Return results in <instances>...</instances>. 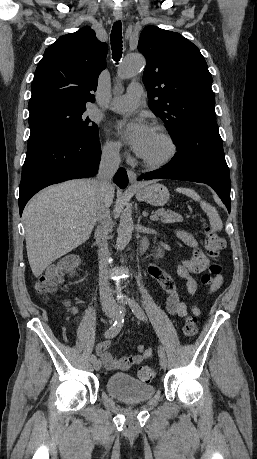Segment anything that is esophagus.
<instances>
[{
  "mask_svg": "<svg viewBox=\"0 0 257 459\" xmlns=\"http://www.w3.org/2000/svg\"><path fill=\"white\" fill-rule=\"evenodd\" d=\"M113 16L115 18V20H120L122 18V11L120 10H115L113 12ZM127 174H128V178H129V183L131 186H138V181H137V175L136 173L131 170V169H128L127 170Z\"/></svg>",
  "mask_w": 257,
  "mask_h": 459,
  "instance_id": "1",
  "label": "esophagus"
}]
</instances>
